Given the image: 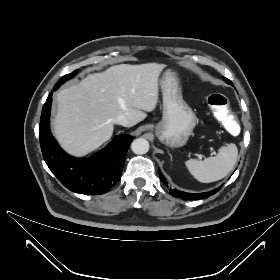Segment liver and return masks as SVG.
I'll list each match as a JSON object with an SVG mask.
<instances>
[{
	"label": "liver",
	"instance_id": "1",
	"mask_svg": "<svg viewBox=\"0 0 280 280\" xmlns=\"http://www.w3.org/2000/svg\"><path fill=\"white\" fill-rule=\"evenodd\" d=\"M164 64H120L89 74L57 94L53 125L60 145L69 154H87L113 134V120L124 115L132 127L156 108L158 82Z\"/></svg>",
	"mask_w": 280,
	"mask_h": 280
}]
</instances>
